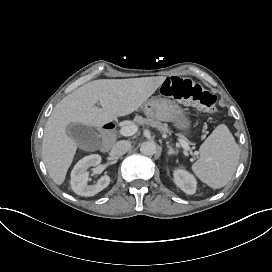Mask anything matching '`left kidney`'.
<instances>
[{
  "label": "left kidney",
  "instance_id": "5707ae66",
  "mask_svg": "<svg viewBox=\"0 0 272 272\" xmlns=\"http://www.w3.org/2000/svg\"><path fill=\"white\" fill-rule=\"evenodd\" d=\"M175 184L186 194H194L197 188V181L195 177L188 171L177 169L174 171Z\"/></svg>",
  "mask_w": 272,
  "mask_h": 272
}]
</instances>
